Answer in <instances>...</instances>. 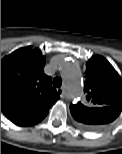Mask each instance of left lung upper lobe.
Segmentation results:
<instances>
[{
	"label": "left lung upper lobe",
	"instance_id": "1",
	"mask_svg": "<svg viewBox=\"0 0 122 154\" xmlns=\"http://www.w3.org/2000/svg\"><path fill=\"white\" fill-rule=\"evenodd\" d=\"M85 78L86 102L70 105L71 114L78 123L85 124L80 118L88 112L87 108H122V79L104 57L95 55L89 59Z\"/></svg>",
	"mask_w": 122,
	"mask_h": 154
}]
</instances>
